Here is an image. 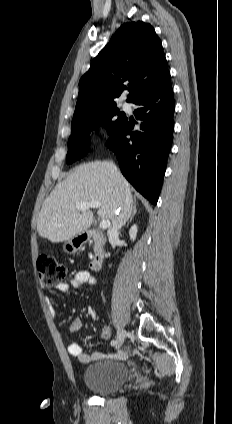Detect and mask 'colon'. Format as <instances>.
Wrapping results in <instances>:
<instances>
[{"mask_svg": "<svg viewBox=\"0 0 232 424\" xmlns=\"http://www.w3.org/2000/svg\"><path fill=\"white\" fill-rule=\"evenodd\" d=\"M38 277L43 287H53L69 276L68 267L52 254H42L37 264Z\"/></svg>", "mask_w": 232, "mask_h": 424, "instance_id": "5ec220e1", "label": "colon"}]
</instances>
